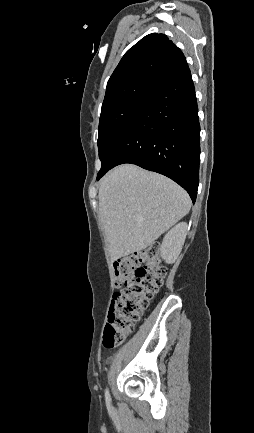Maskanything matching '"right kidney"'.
<instances>
[{"label":"right kidney","mask_w":254,"mask_h":433,"mask_svg":"<svg viewBox=\"0 0 254 433\" xmlns=\"http://www.w3.org/2000/svg\"><path fill=\"white\" fill-rule=\"evenodd\" d=\"M187 234V223L181 222L174 226L164 237L160 249L161 257L168 264L178 258Z\"/></svg>","instance_id":"ca27d5eb"}]
</instances>
